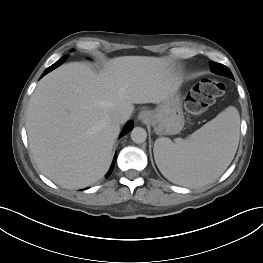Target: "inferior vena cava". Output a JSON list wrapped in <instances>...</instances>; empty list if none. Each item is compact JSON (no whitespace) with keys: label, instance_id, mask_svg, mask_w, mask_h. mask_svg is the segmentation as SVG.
Listing matches in <instances>:
<instances>
[{"label":"inferior vena cava","instance_id":"1","mask_svg":"<svg viewBox=\"0 0 263 263\" xmlns=\"http://www.w3.org/2000/svg\"><path fill=\"white\" fill-rule=\"evenodd\" d=\"M128 118H129L128 114L120 112L114 114L113 121L118 124H123L128 120Z\"/></svg>","mask_w":263,"mask_h":263}]
</instances>
